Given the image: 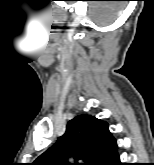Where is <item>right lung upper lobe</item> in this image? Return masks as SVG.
Returning <instances> with one entry per match:
<instances>
[{
    "label": "right lung upper lobe",
    "mask_w": 154,
    "mask_h": 165,
    "mask_svg": "<svg viewBox=\"0 0 154 165\" xmlns=\"http://www.w3.org/2000/svg\"><path fill=\"white\" fill-rule=\"evenodd\" d=\"M112 137L108 124L90 115H79L70 120L66 132L33 165H75L67 158L84 160L93 165L103 146Z\"/></svg>",
    "instance_id": "obj_1"
}]
</instances>
